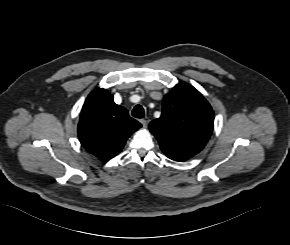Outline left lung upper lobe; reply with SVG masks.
<instances>
[{
  "label": "left lung upper lobe",
  "mask_w": 290,
  "mask_h": 245,
  "mask_svg": "<svg viewBox=\"0 0 290 245\" xmlns=\"http://www.w3.org/2000/svg\"><path fill=\"white\" fill-rule=\"evenodd\" d=\"M213 126L214 114L207 100L193 86L179 83L165 95L162 115L149 129L167 157L185 161L204 148Z\"/></svg>",
  "instance_id": "1"
}]
</instances>
